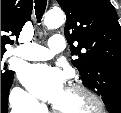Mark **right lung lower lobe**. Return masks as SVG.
<instances>
[{
    "mask_svg": "<svg viewBox=\"0 0 121 113\" xmlns=\"http://www.w3.org/2000/svg\"><path fill=\"white\" fill-rule=\"evenodd\" d=\"M12 82L13 77L8 80H1V113H7L8 111L7 99Z\"/></svg>",
    "mask_w": 121,
    "mask_h": 113,
    "instance_id": "98d812e1",
    "label": "right lung lower lobe"
}]
</instances>
